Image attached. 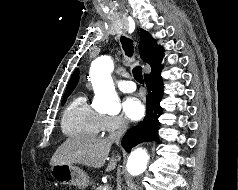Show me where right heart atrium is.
<instances>
[{
  "instance_id": "d8ad5b80",
  "label": "right heart atrium",
  "mask_w": 238,
  "mask_h": 190,
  "mask_svg": "<svg viewBox=\"0 0 238 190\" xmlns=\"http://www.w3.org/2000/svg\"><path fill=\"white\" fill-rule=\"evenodd\" d=\"M127 127L126 119L121 115H104L102 129L104 132H116Z\"/></svg>"
}]
</instances>
